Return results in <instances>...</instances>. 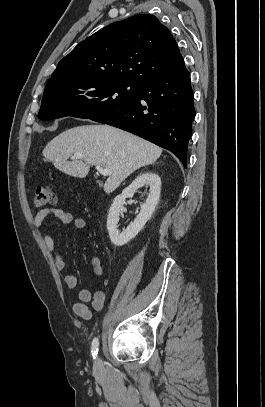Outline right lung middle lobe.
<instances>
[{
	"mask_svg": "<svg viewBox=\"0 0 265 407\" xmlns=\"http://www.w3.org/2000/svg\"><path fill=\"white\" fill-rule=\"evenodd\" d=\"M141 85L124 80L88 78L46 84L38 118L47 121L65 116L93 118L131 103Z\"/></svg>",
	"mask_w": 265,
	"mask_h": 407,
	"instance_id": "1",
	"label": "right lung middle lobe"
}]
</instances>
